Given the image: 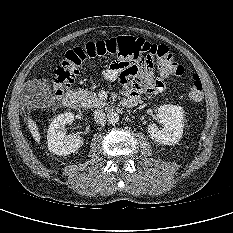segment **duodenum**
Returning a JSON list of instances; mask_svg holds the SVG:
<instances>
[{
    "label": "duodenum",
    "mask_w": 233,
    "mask_h": 233,
    "mask_svg": "<svg viewBox=\"0 0 233 233\" xmlns=\"http://www.w3.org/2000/svg\"><path fill=\"white\" fill-rule=\"evenodd\" d=\"M138 101V96L133 94H128L124 98V104L128 107L136 105ZM63 103L66 107L77 109L80 107V99L76 91L70 90L66 93Z\"/></svg>",
    "instance_id": "obj_1"
}]
</instances>
